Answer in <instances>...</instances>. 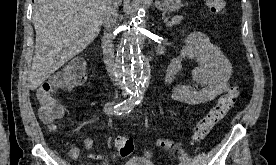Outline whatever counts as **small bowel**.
<instances>
[{
  "mask_svg": "<svg viewBox=\"0 0 276 165\" xmlns=\"http://www.w3.org/2000/svg\"><path fill=\"white\" fill-rule=\"evenodd\" d=\"M185 59L196 60L193 70V82L183 85H173L175 75ZM232 65L220 47L214 44L203 32L190 33L179 54L173 58L167 68L165 82L170 88L171 97L177 103L198 105L210 102L226 92L230 85ZM85 148L92 146L89 138H84ZM73 156L78 150L73 149Z\"/></svg>",
  "mask_w": 276,
  "mask_h": 165,
  "instance_id": "small-bowel-1",
  "label": "small bowel"
}]
</instances>
